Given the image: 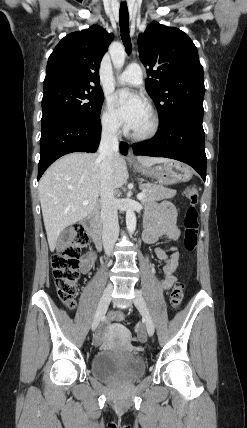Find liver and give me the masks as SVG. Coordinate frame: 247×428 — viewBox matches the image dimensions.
Instances as JSON below:
<instances>
[{
	"instance_id": "obj_1",
	"label": "liver",
	"mask_w": 247,
	"mask_h": 428,
	"mask_svg": "<svg viewBox=\"0 0 247 428\" xmlns=\"http://www.w3.org/2000/svg\"><path fill=\"white\" fill-rule=\"evenodd\" d=\"M98 153H71L53 163L39 182V200L50 250L57 246L60 234L70 225L87 217L101 194ZM144 167L171 161L167 158L138 156ZM128 180L127 164L119 154L113 159L111 183L114 189ZM87 200L88 204L83 205Z\"/></svg>"
}]
</instances>
